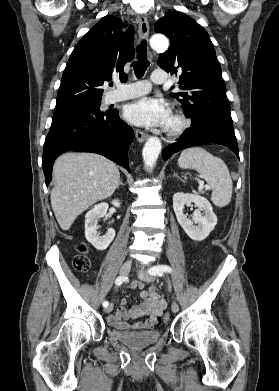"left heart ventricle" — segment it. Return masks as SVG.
Instances as JSON below:
<instances>
[{
	"label": "left heart ventricle",
	"mask_w": 279,
	"mask_h": 391,
	"mask_svg": "<svg viewBox=\"0 0 279 391\" xmlns=\"http://www.w3.org/2000/svg\"><path fill=\"white\" fill-rule=\"evenodd\" d=\"M172 123V120L170 121L169 125Z\"/></svg>",
	"instance_id": "obj_1"
}]
</instances>
